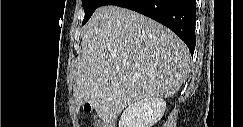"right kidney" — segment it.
<instances>
[{"instance_id":"1","label":"right kidney","mask_w":243,"mask_h":127,"mask_svg":"<svg viewBox=\"0 0 243 127\" xmlns=\"http://www.w3.org/2000/svg\"><path fill=\"white\" fill-rule=\"evenodd\" d=\"M166 102L162 98H148L130 104L122 113L119 127H152L163 116Z\"/></svg>"}]
</instances>
